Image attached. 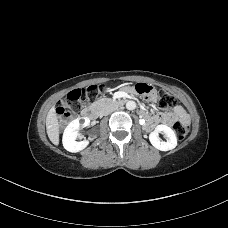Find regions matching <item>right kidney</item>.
Instances as JSON below:
<instances>
[{"label": "right kidney", "mask_w": 228, "mask_h": 228, "mask_svg": "<svg viewBox=\"0 0 228 228\" xmlns=\"http://www.w3.org/2000/svg\"><path fill=\"white\" fill-rule=\"evenodd\" d=\"M81 118H77L70 122L68 126L65 128L62 138V143L64 148L69 152H79L87 147L89 144L88 141H76V137L79 135L80 127H86L90 124V119L88 117H83V123H80Z\"/></svg>", "instance_id": "right-kidney-1"}]
</instances>
